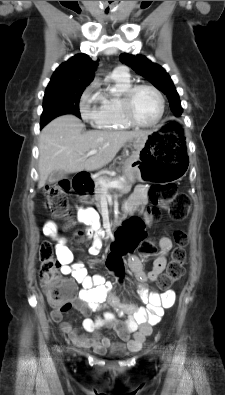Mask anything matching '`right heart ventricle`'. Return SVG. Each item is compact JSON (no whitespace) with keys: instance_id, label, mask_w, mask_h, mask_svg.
<instances>
[{"instance_id":"right-heart-ventricle-1","label":"right heart ventricle","mask_w":225,"mask_h":395,"mask_svg":"<svg viewBox=\"0 0 225 395\" xmlns=\"http://www.w3.org/2000/svg\"><path fill=\"white\" fill-rule=\"evenodd\" d=\"M110 87L100 91L98 95L99 100V114L95 126L103 130H123L131 127L128 124L121 111V95L131 86L129 76L123 77L111 73L107 77Z\"/></svg>"}]
</instances>
